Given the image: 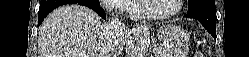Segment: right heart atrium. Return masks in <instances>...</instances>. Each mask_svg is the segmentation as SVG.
Segmentation results:
<instances>
[{"instance_id": "1", "label": "right heart atrium", "mask_w": 249, "mask_h": 57, "mask_svg": "<svg viewBox=\"0 0 249 57\" xmlns=\"http://www.w3.org/2000/svg\"><path fill=\"white\" fill-rule=\"evenodd\" d=\"M128 0H104L103 5L113 14L121 15L128 11Z\"/></svg>"}]
</instances>
